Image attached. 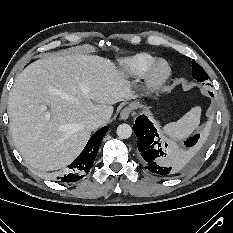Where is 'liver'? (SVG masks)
<instances>
[{
    "label": "liver",
    "instance_id": "6515ba94",
    "mask_svg": "<svg viewBox=\"0 0 233 233\" xmlns=\"http://www.w3.org/2000/svg\"><path fill=\"white\" fill-rule=\"evenodd\" d=\"M131 83L116 64L97 55L50 56L29 64L9 93L14 143L33 169L69 165L91 136L89 115L107 119L113 104L132 99Z\"/></svg>",
    "mask_w": 233,
    "mask_h": 233
}]
</instances>
